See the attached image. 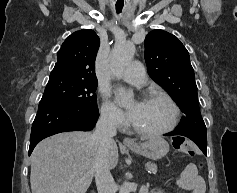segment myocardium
Returning <instances> with one entry per match:
<instances>
[{
	"instance_id": "myocardium-1",
	"label": "myocardium",
	"mask_w": 237,
	"mask_h": 193,
	"mask_svg": "<svg viewBox=\"0 0 237 193\" xmlns=\"http://www.w3.org/2000/svg\"><path fill=\"white\" fill-rule=\"evenodd\" d=\"M153 99H161V100H164L165 102H167L169 104V106L172 109L171 122L167 127L163 128V129H160V130H146V129H142V128L136 126L131 121L132 129L135 132H137L138 134L145 135V136L165 135V134L170 133L171 131H173L179 123L180 109H179L178 105L176 104V102L169 95H167L165 93H162V92H152V93L146 94L143 97V101H148V100H153Z\"/></svg>"
}]
</instances>
